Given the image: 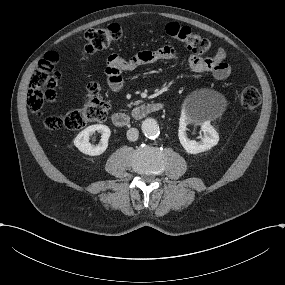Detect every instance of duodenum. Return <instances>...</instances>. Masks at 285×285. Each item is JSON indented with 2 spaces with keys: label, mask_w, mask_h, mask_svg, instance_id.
Masks as SVG:
<instances>
[{
  "label": "duodenum",
  "mask_w": 285,
  "mask_h": 285,
  "mask_svg": "<svg viewBox=\"0 0 285 285\" xmlns=\"http://www.w3.org/2000/svg\"><path fill=\"white\" fill-rule=\"evenodd\" d=\"M164 104L160 102H144L132 109L130 113L116 112L111 116L113 124L119 128L127 127L131 120H140L150 113L161 112Z\"/></svg>",
  "instance_id": "1"
}]
</instances>
